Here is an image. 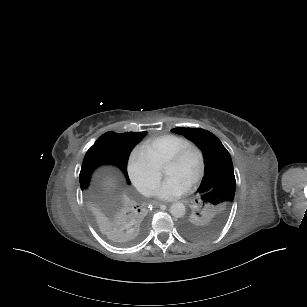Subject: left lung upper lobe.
I'll list each match as a JSON object with an SVG mask.
<instances>
[{"label": "left lung upper lobe", "instance_id": "1", "mask_svg": "<svg viewBox=\"0 0 307 307\" xmlns=\"http://www.w3.org/2000/svg\"><path fill=\"white\" fill-rule=\"evenodd\" d=\"M202 151L205 175L197 190L192 214L182 220L180 229L189 238L202 240L217 234L226 222L234 200L236 180L231 156L211 132L198 128H175Z\"/></svg>", "mask_w": 307, "mask_h": 307}]
</instances>
